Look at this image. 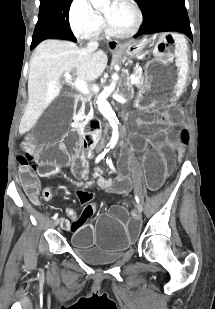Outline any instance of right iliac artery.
<instances>
[{
    "mask_svg": "<svg viewBox=\"0 0 215 309\" xmlns=\"http://www.w3.org/2000/svg\"><path fill=\"white\" fill-rule=\"evenodd\" d=\"M107 150L105 149L104 152H102L101 154L98 155V157L96 158V163H98L101 159L104 158L105 154H106ZM58 216V214H55L53 216V219H56Z\"/></svg>",
    "mask_w": 215,
    "mask_h": 309,
    "instance_id": "1",
    "label": "right iliac artery"
}]
</instances>
